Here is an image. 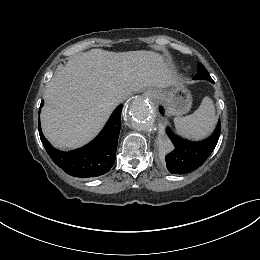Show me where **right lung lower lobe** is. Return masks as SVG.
Segmentation results:
<instances>
[{"label":"right lung lower lobe","instance_id":"obj_1","mask_svg":"<svg viewBox=\"0 0 260 260\" xmlns=\"http://www.w3.org/2000/svg\"><path fill=\"white\" fill-rule=\"evenodd\" d=\"M43 106L41 103L40 107ZM119 105L112 113L99 135L82 148L70 152H61L47 141L41 132L40 139L53 162L67 174L80 178L96 177L107 173L116 158L117 142L121 124Z\"/></svg>","mask_w":260,"mask_h":260}]
</instances>
